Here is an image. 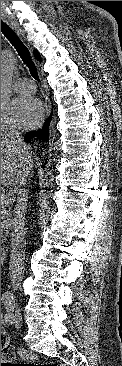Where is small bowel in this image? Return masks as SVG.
Returning <instances> with one entry per match:
<instances>
[{"label":"small bowel","instance_id":"obj_1","mask_svg":"<svg viewBox=\"0 0 122 366\" xmlns=\"http://www.w3.org/2000/svg\"><path fill=\"white\" fill-rule=\"evenodd\" d=\"M1 323H2V315H1Z\"/></svg>","mask_w":122,"mask_h":366}]
</instances>
